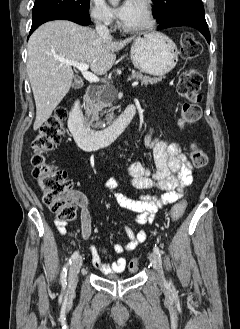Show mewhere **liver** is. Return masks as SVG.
<instances>
[{"label":"liver","mask_w":240,"mask_h":329,"mask_svg":"<svg viewBox=\"0 0 240 329\" xmlns=\"http://www.w3.org/2000/svg\"><path fill=\"white\" fill-rule=\"evenodd\" d=\"M133 37L121 41L103 39L94 30L70 21H52L40 26L28 41L27 73L36 104L33 129H39L68 93L74 73L59 59L90 65L103 75Z\"/></svg>","instance_id":"obj_1"}]
</instances>
